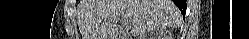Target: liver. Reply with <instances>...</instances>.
Listing matches in <instances>:
<instances>
[{"instance_id": "6515ba94", "label": "liver", "mask_w": 249, "mask_h": 39, "mask_svg": "<svg viewBox=\"0 0 249 39\" xmlns=\"http://www.w3.org/2000/svg\"><path fill=\"white\" fill-rule=\"evenodd\" d=\"M120 17L133 37H144L157 27L177 28L181 22V13L171 0H84L79 19L83 39H116Z\"/></svg>"}]
</instances>
